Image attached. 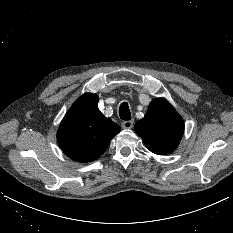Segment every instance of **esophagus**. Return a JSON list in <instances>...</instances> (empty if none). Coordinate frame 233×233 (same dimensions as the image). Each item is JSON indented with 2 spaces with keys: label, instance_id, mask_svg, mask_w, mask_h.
Returning <instances> with one entry per match:
<instances>
[{
  "label": "esophagus",
  "instance_id": "esophagus-1",
  "mask_svg": "<svg viewBox=\"0 0 233 233\" xmlns=\"http://www.w3.org/2000/svg\"><path fill=\"white\" fill-rule=\"evenodd\" d=\"M121 126L123 129H130L133 127V121L132 120L123 121Z\"/></svg>",
  "mask_w": 233,
  "mask_h": 233
}]
</instances>
